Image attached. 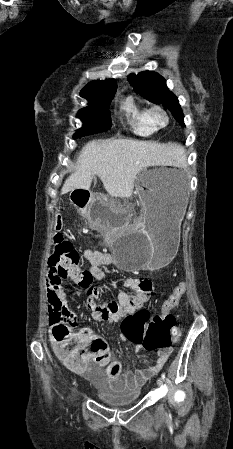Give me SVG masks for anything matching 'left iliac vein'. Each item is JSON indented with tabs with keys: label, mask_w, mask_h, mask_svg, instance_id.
Instances as JSON below:
<instances>
[{
	"label": "left iliac vein",
	"mask_w": 233,
	"mask_h": 449,
	"mask_svg": "<svg viewBox=\"0 0 233 449\" xmlns=\"http://www.w3.org/2000/svg\"><path fill=\"white\" fill-rule=\"evenodd\" d=\"M157 385H158V386H161V385H162V378H159V379L157 380Z\"/></svg>",
	"instance_id": "1"
}]
</instances>
